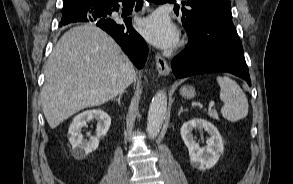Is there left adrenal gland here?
<instances>
[{
    "instance_id": "obj_1",
    "label": "left adrenal gland",
    "mask_w": 293,
    "mask_h": 184,
    "mask_svg": "<svg viewBox=\"0 0 293 184\" xmlns=\"http://www.w3.org/2000/svg\"><path fill=\"white\" fill-rule=\"evenodd\" d=\"M183 111H187V109H184L183 106H181V107H180V111L178 112V116H180V114H181Z\"/></svg>"
}]
</instances>
